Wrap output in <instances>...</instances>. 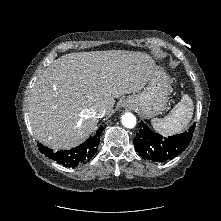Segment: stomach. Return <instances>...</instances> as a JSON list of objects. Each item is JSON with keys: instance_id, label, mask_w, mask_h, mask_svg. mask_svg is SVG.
I'll return each mask as SVG.
<instances>
[{"instance_id": "1", "label": "stomach", "mask_w": 221, "mask_h": 221, "mask_svg": "<svg viewBox=\"0 0 221 221\" xmlns=\"http://www.w3.org/2000/svg\"><path fill=\"white\" fill-rule=\"evenodd\" d=\"M170 79L162 70L153 72L147 87L130 97L134 106L145 118L161 114L167 106L170 91Z\"/></svg>"}]
</instances>
